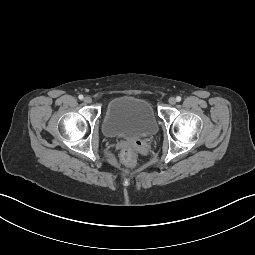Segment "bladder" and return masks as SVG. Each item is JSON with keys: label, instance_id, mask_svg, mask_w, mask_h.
<instances>
[{"label": "bladder", "instance_id": "obj_1", "mask_svg": "<svg viewBox=\"0 0 255 255\" xmlns=\"http://www.w3.org/2000/svg\"><path fill=\"white\" fill-rule=\"evenodd\" d=\"M102 128L111 138H144L157 132L158 122L153 107L147 100L118 96L106 105Z\"/></svg>", "mask_w": 255, "mask_h": 255}]
</instances>
